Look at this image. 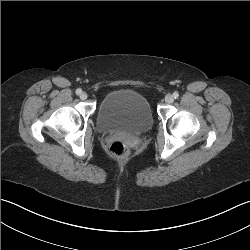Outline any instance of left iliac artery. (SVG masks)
Masks as SVG:
<instances>
[{"label":"left iliac artery","mask_w":250,"mask_h":250,"mask_svg":"<svg viewBox=\"0 0 250 250\" xmlns=\"http://www.w3.org/2000/svg\"><path fill=\"white\" fill-rule=\"evenodd\" d=\"M173 97H174L175 99L178 98V97H179L178 92H174V93H173Z\"/></svg>","instance_id":"obj_1"}]
</instances>
